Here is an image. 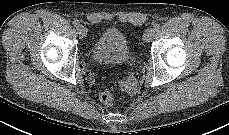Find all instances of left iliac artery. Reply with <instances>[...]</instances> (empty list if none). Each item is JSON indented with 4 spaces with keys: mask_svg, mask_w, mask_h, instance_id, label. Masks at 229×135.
I'll use <instances>...</instances> for the list:
<instances>
[{
    "mask_svg": "<svg viewBox=\"0 0 229 135\" xmlns=\"http://www.w3.org/2000/svg\"><path fill=\"white\" fill-rule=\"evenodd\" d=\"M159 28H160V25H159V24H155V25H154V30H155V31H158Z\"/></svg>",
    "mask_w": 229,
    "mask_h": 135,
    "instance_id": "44dca946",
    "label": "left iliac artery"
}]
</instances>
